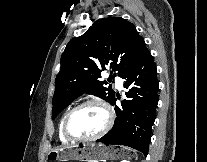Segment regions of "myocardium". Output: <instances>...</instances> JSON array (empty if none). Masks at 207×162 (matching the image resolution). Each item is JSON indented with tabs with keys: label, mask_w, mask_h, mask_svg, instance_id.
<instances>
[{
	"label": "myocardium",
	"mask_w": 207,
	"mask_h": 162,
	"mask_svg": "<svg viewBox=\"0 0 207 162\" xmlns=\"http://www.w3.org/2000/svg\"><path fill=\"white\" fill-rule=\"evenodd\" d=\"M89 105H97V106H100L101 108H103V110L105 111V114H106V121H105L104 127L98 133L91 135V136H87V137H74V136H72L68 131V123H69L70 119L72 118V116L76 112H78L82 108L89 106ZM113 121H114V111H113L112 107L106 101H104L100 98H92V99H89V100H86V101L80 103L79 105H77L76 107L71 109L66 114V116L63 119L62 127H61L62 136L66 141H69V142H73V141L81 142V141L96 140V139L104 136L110 130V128L112 127Z\"/></svg>",
	"instance_id": "myocardium-1"
}]
</instances>
